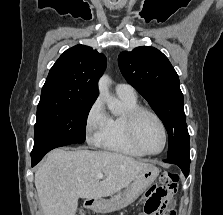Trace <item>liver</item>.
<instances>
[{"mask_svg": "<svg viewBox=\"0 0 223 215\" xmlns=\"http://www.w3.org/2000/svg\"><path fill=\"white\" fill-rule=\"evenodd\" d=\"M150 163L115 151L52 149L35 171L44 215H75L79 197L100 199L128 187ZM104 173L103 181L96 177Z\"/></svg>", "mask_w": 223, "mask_h": 215, "instance_id": "1", "label": "liver"}]
</instances>
